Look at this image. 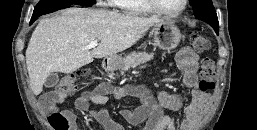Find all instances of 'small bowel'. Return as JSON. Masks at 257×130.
<instances>
[{"label":"small bowel","mask_w":257,"mask_h":130,"mask_svg":"<svg viewBox=\"0 0 257 130\" xmlns=\"http://www.w3.org/2000/svg\"><path fill=\"white\" fill-rule=\"evenodd\" d=\"M198 54L191 48L181 49L176 56V63L182 72L184 86L188 89V98L181 94L159 92L153 97L142 86H114L101 83L91 91L83 92L75 101L77 109L89 113L105 130H125L115 121L105 108L90 109V103L103 105L111 97L122 99L127 96L137 97L140 105L134 109L124 108L121 116L131 125L145 123L143 130H192L206 107L209 95L199 89L197 76ZM66 97L65 94L51 91L40 99L46 111L56 110L57 104ZM183 111L180 124L176 126L174 118L165 111ZM70 119V130H82L76 116L71 111H63Z\"/></svg>","instance_id":"1"}]
</instances>
